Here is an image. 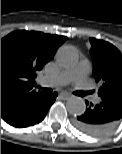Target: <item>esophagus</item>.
I'll list each match as a JSON object with an SVG mask.
<instances>
[{"instance_id": "34e87169", "label": "esophagus", "mask_w": 122, "mask_h": 154, "mask_svg": "<svg viewBox=\"0 0 122 154\" xmlns=\"http://www.w3.org/2000/svg\"><path fill=\"white\" fill-rule=\"evenodd\" d=\"M60 96L64 99H68L71 97V94L70 93H67V92H61L60 93Z\"/></svg>"}]
</instances>
